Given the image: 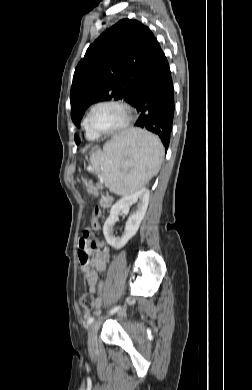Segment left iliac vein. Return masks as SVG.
Masks as SVG:
<instances>
[{
	"label": "left iliac vein",
	"mask_w": 252,
	"mask_h": 390,
	"mask_svg": "<svg viewBox=\"0 0 252 390\" xmlns=\"http://www.w3.org/2000/svg\"><path fill=\"white\" fill-rule=\"evenodd\" d=\"M100 321H94L88 328V351L94 353L97 349V333Z\"/></svg>",
	"instance_id": "left-iliac-vein-1"
}]
</instances>
